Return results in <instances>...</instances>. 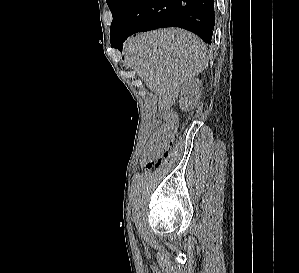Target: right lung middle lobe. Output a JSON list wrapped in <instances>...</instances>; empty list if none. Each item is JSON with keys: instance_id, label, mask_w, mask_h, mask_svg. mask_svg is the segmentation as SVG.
<instances>
[{"instance_id": "dd1d6c3e", "label": "right lung middle lobe", "mask_w": 299, "mask_h": 273, "mask_svg": "<svg viewBox=\"0 0 299 273\" xmlns=\"http://www.w3.org/2000/svg\"><path fill=\"white\" fill-rule=\"evenodd\" d=\"M113 16L110 27L111 43L115 39L122 23L124 22L134 0H106Z\"/></svg>"}]
</instances>
